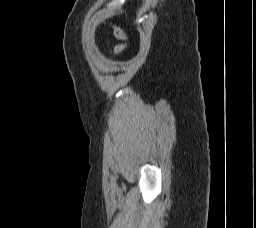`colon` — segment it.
Masks as SVG:
<instances>
[{
    "label": "colon",
    "mask_w": 256,
    "mask_h": 228,
    "mask_svg": "<svg viewBox=\"0 0 256 228\" xmlns=\"http://www.w3.org/2000/svg\"><path fill=\"white\" fill-rule=\"evenodd\" d=\"M114 36L117 40L122 42L121 44L116 45L113 50L115 55H119L127 49L129 45V39L125 31L119 26H114Z\"/></svg>",
    "instance_id": "1"
}]
</instances>
